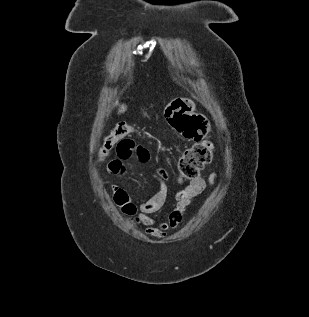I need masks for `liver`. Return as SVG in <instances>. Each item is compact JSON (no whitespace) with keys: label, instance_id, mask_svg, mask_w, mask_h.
Segmentation results:
<instances>
[{"label":"liver","instance_id":"6515ba94","mask_svg":"<svg viewBox=\"0 0 309 317\" xmlns=\"http://www.w3.org/2000/svg\"><path fill=\"white\" fill-rule=\"evenodd\" d=\"M127 107L125 105H121L119 109V113H124L126 111Z\"/></svg>","mask_w":309,"mask_h":317}]
</instances>
